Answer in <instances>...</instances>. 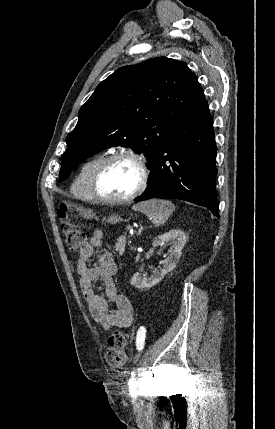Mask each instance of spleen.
Wrapping results in <instances>:
<instances>
[{"label": "spleen", "mask_w": 275, "mask_h": 429, "mask_svg": "<svg viewBox=\"0 0 275 429\" xmlns=\"http://www.w3.org/2000/svg\"><path fill=\"white\" fill-rule=\"evenodd\" d=\"M133 210L145 214L155 226H162L175 210V206L168 200L151 199L136 204L133 206Z\"/></svg>", "instance_id": "3e777b00"}]
</instances>
